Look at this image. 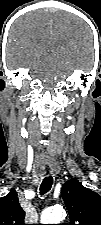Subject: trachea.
<instances>
[{
    "instance_id": "trachea-1",
    "label": "trachea",
    "mask_w": 101,
    "mask_h": 225,
    "mask_svg": "<svg viewBox=\"0 0 101 225\" xmlns=\"http://www.w3.org/2000/svg\"><path fill=\"white\" fill-rule=\"evenodd\" d=\"M52 184H53V177L52 176L45 177L40 186V195L46 194L51 189Z\"/></svg>"
}]
</instances>
